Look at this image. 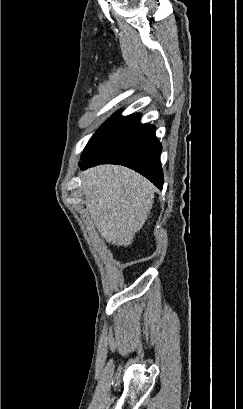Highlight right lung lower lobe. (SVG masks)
<instances>
[{"label":"right lung lower lobe","mask_w":243,"mask_h":409,"mask_svg":"<svg viewBox=\"0 0 243 409\" xmlns=\"http://www.w3.org/2000/svg\"><path fill=\"white\" fill-rule=\"evenodd\" d=\"M140 114L109 119L90 139L81 156L80 168L97 164L127 166L154 183L163 186L160 163L162 146L155 137V127L139 123Z\"/></svg>","instance_id":"1"}]
</instances>
